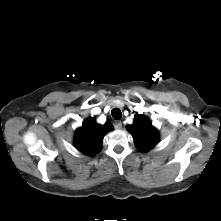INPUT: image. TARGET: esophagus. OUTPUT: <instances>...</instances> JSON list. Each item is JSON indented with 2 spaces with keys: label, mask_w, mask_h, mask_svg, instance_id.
I'll return each mask as SVG.
<instances>
[{
  "label": "esophagus",
  "mask_w": 221,
  "mask_h": 221,
  "mask_svg": "<svg viewBox=\"0 0 221 221\" xmlns=\"http://www.w3.org/2000/svg\"><path fill=\"white\" fill-rule=\"evenodd\" d=\"M114 127L116 129H121L122 128V122L120 120H117L114 122Z\"/></svg>",
  "instance_id": "34e87169"
}]
</instances>
